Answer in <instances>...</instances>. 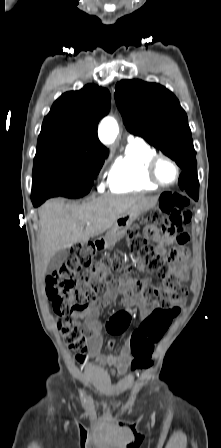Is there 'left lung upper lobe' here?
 I'll list each match as a JSON object with an SVG mask.
<instances>
[{
    "mask_svg": "<svg viewBox=\"0 0 221 448\" xmlns=\"http://www.w3.org/2000/svg\"><path fill=\"white\" fill-rule=\"evenodd\" d=\"M115 100L129 132L143 137L183 170L196 169L187 115L172 92L156 83L122 80L115 87Z\"/></svg>",
    "mask_w": 221,
    "mask_h": 448,
    "instance_id": "1",
    "label": "left lung upper lobe"
}]
</instances>
